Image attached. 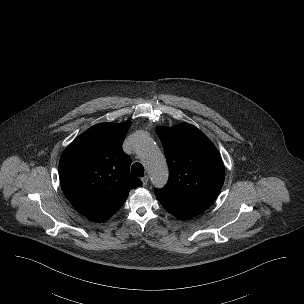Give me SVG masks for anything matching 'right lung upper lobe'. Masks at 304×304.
Returning a JSON list of instances; mask_svg holds the SVG:
<instances>
[{"instance_id":"cb5924a9","label":"right lung upper lobe","mask_w":304,"mask_h":304,"mask_svg":"<svg viewBox=\"0 0 304 304\" xmlns=\"http://www.w3.org/2000/svg\"><path fill=\"white\" fill-rule=\"evenodd\" d=\"M131 122L97 124L62 153L59 178L69 202L85 217L102 222L123 205L142 182L129 172L131 158L122 144Z\"/></svg>"}]
</instances>
